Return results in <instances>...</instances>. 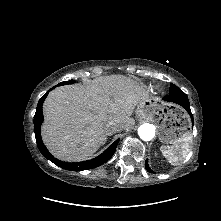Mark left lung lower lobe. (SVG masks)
<instances>
[{
    "label": "left lung lower lobe",
    "mask_w": 221,
    "mask_h": 221,
    "mask_svg": "<svg viewBox=\"0 0 221 221\" xmlns=\"http://www.w3.org/2000/svg\"><path fill=\"white\" fill-rule=\"evenodd\" d=\"M163 100L182 106L189 113V115H190V117L193 121V115H192L191 110H190V103H189L188 97L182 90L179 91V92L170 93L169 95L165 96L163 98ZM145 168L148 172L154 173L149 168L148 161L145 162Z\"/></svg>",
    "instance_id": "left-lung-lower-lobe-1"
}]
</instances>
